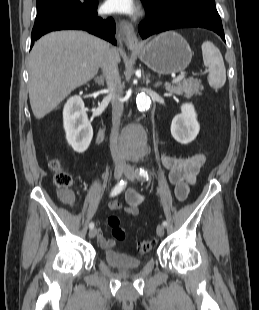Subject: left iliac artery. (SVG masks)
I'll list each match as a JSON object with an SVG mask.
<instances>
[{
    "mask_svg": "<svg viewBox=\"0 0 259 310\" xmlns=\"http://www.w3.org/2000/svg\"><path fill=\"white\" fill-rule=\"evenodd\" d=\"M136 177L138 179H141V178H144L146 180L149 179V175H148V172L146 169L144 168H140L139 170L136 171ZM163 226H167V222L166 221H163Z\"/></svg>",
    "mask_w": 259,
    "mask_h": 310,
    "instance_id": "44dca946",
    "label": "left iliac artery"
}]
</instances>
